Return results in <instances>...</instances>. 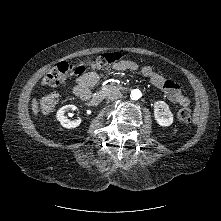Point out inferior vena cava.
Here are the masks:
<instances>
[{
	"instance_id": "obj_1",
	"label": "inferior vena cava",
	"mask_w": 221,
	"mask_h": 221,
	"mask_svg": "<svg viewBox=\"0 0 221 221\" xmlns=\"http://www.w3.org/2000/svg\"><path fill=\"white\" fill-rule=\"evenodd\" d=\"M121 97H122L121 92H120V91H116V90L110 92L109 95H108V98H109L110 100H112V101H113V100L120 99Z\"/></svg>"
}]
</instances>
